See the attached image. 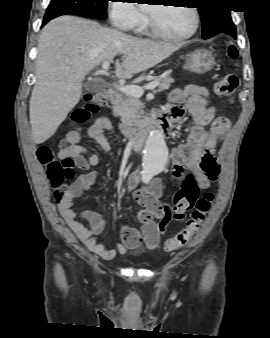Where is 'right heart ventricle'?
Here are the masks:
<instances>
[{"mask_svg":"<svg viewBox=\"0 0 270 338\" xmlns=\"http://www.w3.org/2000/svg\"><path fill=\"white\" fill-rule=\"evenodd\" d=\"M142 29H143V26L134 28V30H136V31H141Z\"/></svg>","mask_w":270,"mask_h":338,"instance_id":"e07e8e85","label":"right heart ventricle"}]
</instances>
